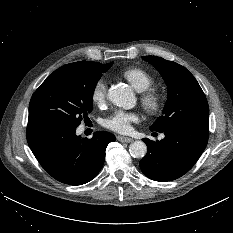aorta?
<instances>
[{"instance_id":"obj_1","label":"aorta","mask_w":233,"mask_h":233,"mask_svg":"<svg viewBox=\"0 0 233 233\" xmlns=\"http://www.w3.org/2000/svg\"><path fill=\"white\" fill-rule=\"evenodd\" d=\"M108 99L116 106L124 109L133 108L136 104V97L129 86L118 84L108 91ZM132 157L142 158L147 153V146L143 141H134L129 146Z\"/></svg>"}]
</instances>
